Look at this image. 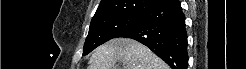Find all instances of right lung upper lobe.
I'll use <instances>...</instances> for the list:
<instances>
[{
  "label": "right lung upper lobe",
  "mask_w": 246,
  "mask_h": 69,
  "mask_svg": "<svg viewBox=\"0 0 246 69\" xmlns=\"http://www.w3.org/2000/svg\"><path fill=\"white\" fill-rule=\"evenodd\" d=\"M168 0H101L92 20L120 14H142Z\"/></svg>",
  "instance_id": "cb5924a9"
}]
</instances>
